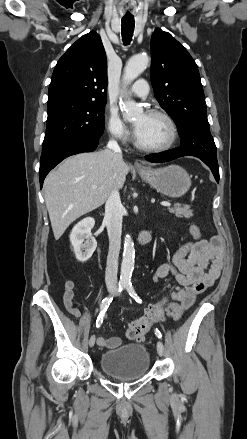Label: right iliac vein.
I'll use <instances>...</instances> for the list:
<instances>
[{"label": "right iliac vein", "mask_w": 247, "mask_h": 439, "mask_svg": "<svg viewBox=\"0 0 247 439\" xmlns=\"http://www.w3.org/2000/svg\"><path fill=\"white\" fill-rule=\"evenodd\" d=\"M109 292H110V293H113V292H114V289H113V288H110V289H109ZM94 345H95V336L92 335V336L90 337V340H89V346H90V347H93Z\"/></svg>", "instance_id": "1"}]
</instances>
